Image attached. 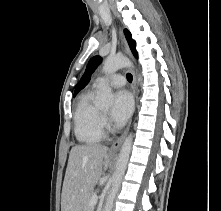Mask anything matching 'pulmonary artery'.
<instances>
[{"instance_id":"pulmonary-artery-1","label":"pulmonary artery","mask_w":221,"mask_h":211,"mask_svg":"<svg viewBox=\"0 0 221 211\" xmlns=\"http://www.w3.org/2000/svg\"><path fill=\"white\" fill-rule=\"evenodd\" d=\"M104 84H110L114 87H121L125 84V78L122 75L115 74L110 77L101 76L94 81V86L100 87Z\"/></svg>"}]
</instances>
